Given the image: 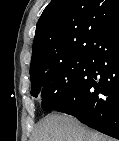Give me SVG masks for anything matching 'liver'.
Returning <instances> with one entry per match:
<instances>
[{
    "mask_svg": "<svg viewBox=\"0 0 119 141\" xmlns=\"http://www.w3.org/2000/svg\"><path fill=\"white\" fill-rule=\"evenodd\" d=\"M31 141H115L68 115L50 114L37 126Z\"/></svg>",
    "mask_w": 119,
    "mask_h": 141,
    "instance_id": "1",
    "label": "liver"
}]
</instances>
